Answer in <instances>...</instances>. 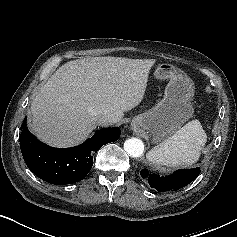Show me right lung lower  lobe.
Returning a JSON list of instances; mask_svg holds the SVG:
<instances>
[{
  "label": "right lung lower lobe",
  "instance_id": "98d812e1",
  "mask_svg": "<svg viewBox=\"0 0 237 237\" xmlns=\"http://www.w3.org/2000/svg\"><path fill=\"white\" fill-rule=\"evenodd\" d=\"M19 137L21 152L28 168L40 179L56 185L82 180L93 166V152L119 139V128L98 130L84 144L60 149L40 142L26 127V118Z\"/></svg>",
  "mask_w": 237,
  "mask_h": 237
}]
</instances>
